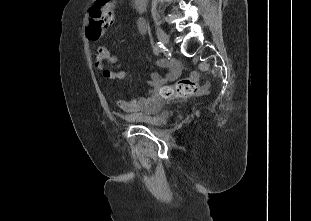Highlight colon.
<instances>
[{
	"mask_svg": "<svg viewBox=\"0 0 311 221\" xmlns=\"http://www.w3.org/2000/svg\"><path fill=\"white\" fill-rule=\"evenodd\" d=\"M113 0H96L91 8V25H88L86 39H99L101 29L107 30L113 20L112 4ZM199 75L192 73L190 76L177 81L171 86L164 88L162 97L167 98H188L199 91Z\"/></svg>",
	"mask_w": 311,
	"mask_h": 221,
	"instance_id": "obj_1",
	"label": "colon"
}]
</instances>
